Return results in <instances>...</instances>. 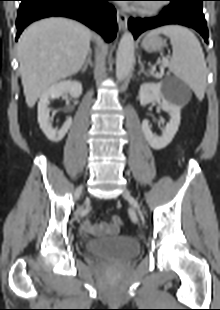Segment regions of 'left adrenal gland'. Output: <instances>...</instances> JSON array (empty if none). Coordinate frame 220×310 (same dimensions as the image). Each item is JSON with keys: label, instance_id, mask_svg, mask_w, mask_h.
Instances as JSON below:
<instances>
[{"label": "left adrenal gland", "instance_id": "a2214340", "mask_svg": "<svg viewBox=\"0 0 220 310\" xmlns=\"http://www.w3.org/2000/svg\"><path fill=\"white\" fill-rule=\"evenodd\" d=\"M139 65H140V71L138 72V75H141L143 73L144 75L148 76V73L144 70L143 63L140 62Z\"/></svg>", "mask_w": 220, "mask_h": 310}]
</instances>
